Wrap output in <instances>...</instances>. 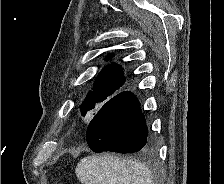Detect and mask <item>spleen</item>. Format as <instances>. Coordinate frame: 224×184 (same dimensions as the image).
Here are the masks:
<instances>
[{
    "mask_svg": "<svg viewBox=\"0 0 224 184\" xmlns=\"http://www.w3.org/2000/svg\"><path fill=\"white\" fill-rule=\"evenodd\" d=\"M75 172L82 184H153L144 164L113 155L85 157Z\"/></svg>",
    "mask_w": 224,
    "mask_h": 184,
    "instance_id": "1",
    "label": "spleen"
}]
</instances>
